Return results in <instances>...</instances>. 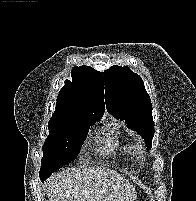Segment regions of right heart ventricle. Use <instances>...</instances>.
Instances as JSON below:
<instances>
[{
  "label": "right heart ventricle",
  "instance_id": "e07e8e85",
  "mask_svg": "<svg viewBox=\"0 0 196 201\" xmlns=\"http://www.w3.org/2000/svg\"><path fill=\"white\" fill-rule=\"evenodd\" d=\"M106 144L109 151H115L119 147L120 142L113 135H109V137L107 138Z\"/></svg>",
  "mask_w": 196,
  "mask_h": 201
}]
</instances>
